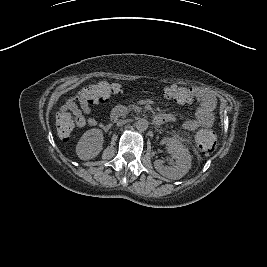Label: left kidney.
Masks as SVG:
<instances>
[{
  "mask_svg": "<svg viewBox=\"0 0 267 267\" xmlns=\"http://www.w3.org/2000/svg\"><path fill=\"white\" fill-rule=\"evenodd\" d=\"M168 148V152L175 160L172 166L164 165L163 161L157 159L154 161V168L162 176L177 180L189 172L191 168V155L188 149L177 139L165 137L161 141Z\"/></svg>",
  "mask_w": 267,
  "mask_h": 267,
  "instance_id": "left-kidney-1",
  "label": "left kidney"
}]
</instances>
